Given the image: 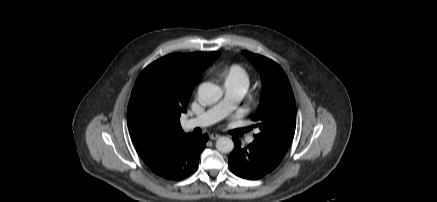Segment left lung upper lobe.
Wrapping results in <instances>:
<instances>
[{
	"label": "left lung upper lobe",
	"mask_w": 437,
	"mask_h": 202,
	"mask_svg": "<svg viewBox=\"0 0 437 202\" xmlns=\"http://www.w3.org/2000/svg\"><path fill=\"white\" fill-rule=\"evenodd\" d=\"M261 75L263 90L253 121L259 133L253 143L281 161L295 132L296 103L290 82L282 68L271 59L243 51Z\"/></svg>",
	"instance_id": "5c2ea615"
}]
</instances>
